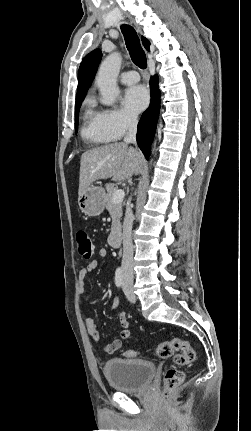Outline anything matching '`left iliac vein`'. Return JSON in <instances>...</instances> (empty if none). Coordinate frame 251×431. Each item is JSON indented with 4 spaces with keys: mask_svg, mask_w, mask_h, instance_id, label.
I'll use <instances>...</instances> for the list:
<instances>
[{
    "mask_svg": "<svg viewBox=\"0 0 251 431\" xmlns=\"http://www.w3.org/2000/svg\"><path fill=\"white\" fill-rule=\"evenodd\" d=\"M124 293H125L127 299L130 302H135L136 301V296L133 293L132 288L130 286H128L127 284L124 285Z\"/></svg>",
    "mask_w": 251,
    "mask_h": 431,
    "instance_id": "left-iliac-vein-1",
    "label": "left iliac vein"
}]
</instances>
